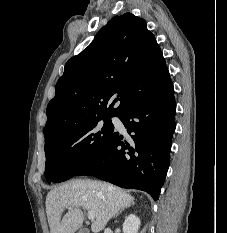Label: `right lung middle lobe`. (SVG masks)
Returning <instances> with one entry per match:
<instances>
[{
	"label": "right lung middle lobe",
	"instance_id": "dd1d6c3e",
	"mask_svg": "<svg viewBox=\"0 0 227 233\" xmlns=\"http://www.w3.org/2000/svg\"><path fill=\"white\" fill-rule=\"evenodd\" d=\"M110 118L86 122L45 144L48 183L73 177L100 153L114 132Z\"/></svg>",
	"mask_w": 227,
	"mask_h": 233
}]
</instances>
